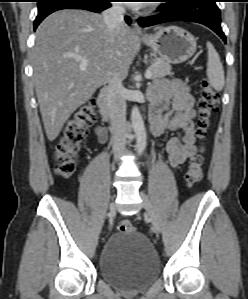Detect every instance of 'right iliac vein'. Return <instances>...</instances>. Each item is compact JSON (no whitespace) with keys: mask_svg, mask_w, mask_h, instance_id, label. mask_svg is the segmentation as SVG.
Listing matches in <instances>:
<instances>
[{"mask_svg":"<svg viewBox=\"0 0 248 299\" xmlns=\"http://www.w3.org/2000/svg\"><path fill=\"white\" fill-rule=\"evenodd\" d=\"M113 206H114V204L112 203V204H111V207L113 208Z\"/></svg>","mask_w":248,"mask_h":299,"instance_id":"63e3f726","label":"right iliac vein"}]
</instances>
